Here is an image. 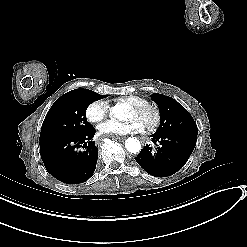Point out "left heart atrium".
<instances>
[{
  "instance_id": "1",
  "label": "left heart atrium",
  "mask_w": 247,
  "mask_h": 247,
  "mask_svg": "<svg viewBox=\"0 0 247 247\" xmlns=\"http://www.w3.org/2000/svg\"><path fill=\"white\" fill-rule=\"evenodd\" d=\"M97 129L98 140H103L107 136L137 133L141 130V126L136 120L128 123H116L113 121H108L101 124Z\"/></svg>"
}]
</instances>
